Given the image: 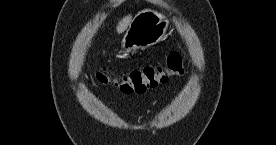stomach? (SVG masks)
<instances>
[{
    "label": "stomach",
    "instance_id": "1",
    "mask_svg": "<svg viewBox=\"0 0 276 145\" xmlns=\"http://www.w3.org/2000/svg\"><path fill=\"white\" fill-rule=\"evenodd\" d=\"M169 22L155 10L144 9L131 21L121 45L124 50L147 48L159 43L165 36Z\"/></svg>",
    "mask_w": 276,
    "mask_h": 145
}]
</instances>
